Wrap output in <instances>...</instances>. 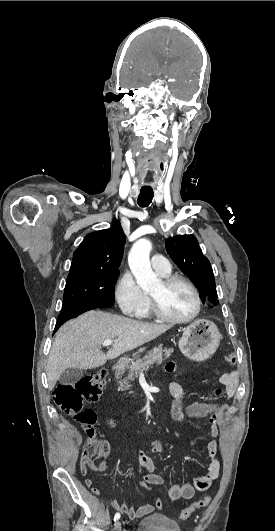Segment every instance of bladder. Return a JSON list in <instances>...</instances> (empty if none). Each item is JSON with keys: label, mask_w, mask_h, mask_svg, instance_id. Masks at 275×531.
Segmentation results:
<instances>
[{"label": "bladder", "mask_w": 275, "mask_h": 531, "mask_svg": "<svg viewBox=\"0 0 275 531\" xmlns=\"http://www.w3.org/2000/svg\"><path fill=\"white\" fill-rule=\"evenodd\" d=\"M135 531H180L179 522L165 513H152L139 520Z\"/></svg>", "instance_id": "bladder-1"}]
</instances>
